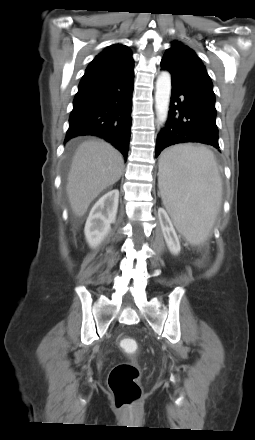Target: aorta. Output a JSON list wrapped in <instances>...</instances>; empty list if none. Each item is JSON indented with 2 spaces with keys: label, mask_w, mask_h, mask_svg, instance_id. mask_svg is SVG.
Here are the masks:
<instances>
[{
  "label": "aorta",
  "mask_w": 255,
  "mask_h": 440,
  "mask_svg": "<svg viewBox=\"0 0 255 440\" xmlns=\"http://www.w3.org/2000/svg\"><path fill=\"white\" fill-rule=\"evenodd\" d=\"M171 94V76L168 72H162L156 81L155 108L157 119L160 124L166 122L168 117Z\"/></svg>",
  "instance_id": "aorta-1"
}]
</instances>
